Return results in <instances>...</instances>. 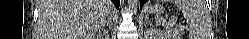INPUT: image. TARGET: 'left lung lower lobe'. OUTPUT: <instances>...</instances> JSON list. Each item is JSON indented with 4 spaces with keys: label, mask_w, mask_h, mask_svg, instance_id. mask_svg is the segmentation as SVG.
<instances>
[{
    "label": "left lung lower lobe",
    "mask_w": 249,
    "mask_h": 39,
    "mask_svg": "<svg viewBox=\"0 0 249 39\" xmlns=\"http://www.w3.org/2000/svg\"><path fill=\"white\" fill-rule=\"evenodd\" d=\"M146 2V0H141L140 1V8H142L143 4Z\"/></svg>",
    "instance_id": "obj_1"
}]
</instances>
